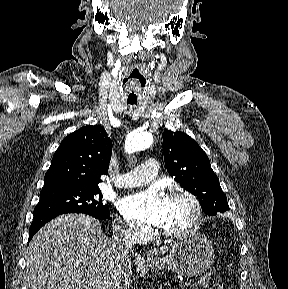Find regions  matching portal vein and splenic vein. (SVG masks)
Masks as SVG:
<instances>
[{
  "label": "portal vein and splenic vein",
  "mask_w": 288,
  "mask_h": 289,
  "mask_svg": "<svg viewBox=\"0 0 288 289\" xmlns=\"http://www.w3.org/2000/svg\"><path fill=\"white\" fill-rule=\"evenodd\" d=\"M190 285H191L190 282H186V283L184 284L183 288L186 289V288H188Z\"/></svg>",
  "instance_id": "18ae733b"
}]
</instances>
